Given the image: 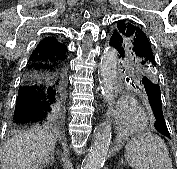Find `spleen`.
Listing matches in <instances>:
<instances>
[{
  "instance_id": "spleen-1",
  "label": "spleen",
  "mask_w": 177,
  "mask_h": 169,
  "mask_svg": "<svg viewBox=\"0 0 177 169\" xmlns=\"http://www.w3.org/2000/svg\"><path fill=\"white\" fill-rule=\"evenodd\" d=\"M125 157L133 169H173L165 142L153 133H142L129 140Z\"/></svg>"
}]
</instances>
